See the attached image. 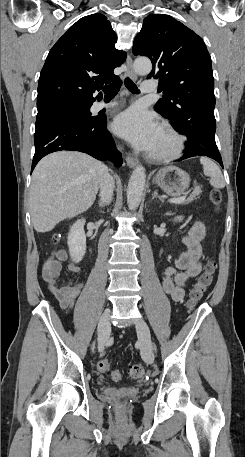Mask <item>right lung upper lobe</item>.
Here are the masks:
<instances>
[{
    "label": "right lung upper lobe",
    "instance_id": "cb5924a9",
    "mask_svg": "<svg viewBox=\"0 0 245 457\" xmlns=\"http://www.w3.org/2000/svg\"><path fill=\"white\" fill-rule=\"evenodd\" d=\"M116 41L102 14L85 16L71 26L52 47L41 70L38 112L70 101L94 102L95 89L117 79L113 70L126 59V53L115 48Z\"/></svg>",
    "mask_w": 245,
    "mask_h": 457
}]
</instances>
